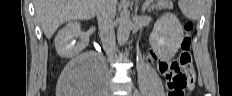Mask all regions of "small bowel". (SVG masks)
Wrapping results in <instances>:
<instances>
[{
    "mask_svg": "<svg viewBox=\"0 0 232 96\" xmlns=\"http://www.w3.org/2000/svg\"><path fill=\"white\" fill-rule=\"evenodd\" d=\"M149 18L152 20L154 17L151 15ZM171 66H172L171 63L160 62V63L157 64V67H158V69H159V71L161 73H162V68H171ZM184 72H185V74L188 76V78L190 80L189 86L190 87L194 86V83H195V73H194V70H193L192 66L187 67L184 70Z\"/></svg>",
    "mask_w": 232,
    "mask_h": 96,
    "instance_id": "c3829d8e",
    "label": "small bowel"
}]
</instances>
